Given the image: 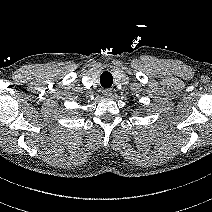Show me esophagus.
I'll return each mask as SVG.
<instances>
[{
	"mask_svg": "<svg viewBox=\"0 0 212 212\" xmlns=\"http://www.w3.org/2000/svg\"><path fill=\"white\" fill-rule=\"evenodd\" d=\"M102 93L105 97H110L112 95V89L109 88L103 89Z\"/></svg>",
	"mask_w": 212,
	"mask_h": 212,
	"instance_id": "34e87169",
	"label": "esophagus"
}]
</instances>
